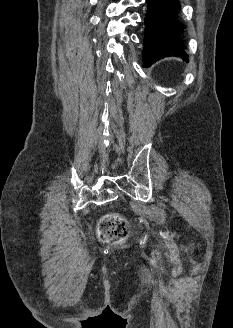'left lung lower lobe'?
<instances>
[{"instance_id":"1","label":"left lung lower lobe","mask_w":233,"mask_h":328,"mask_svg":"<svg viewBox=\"0 0 233 328\" xmlns=\"http://www.w3.org/2000/svg\"><path fill=\"white\" fill-rule=\"evenodd\" d=\"M148 12L145 18V40L143 60L150 66L160 57L176 56L188 61L180 35L183 26L177 20V0H147Z\"/></svg>"}]
</instances>
